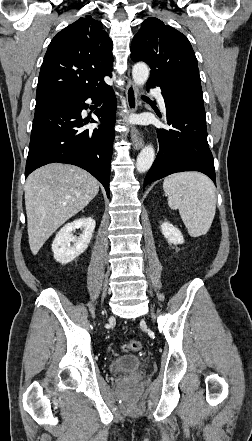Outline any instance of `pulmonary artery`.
I'll return each mask as SVG.
<instances>
[{
    "label": "pulmonary artery",
    "mask_w": 252,
    "mask_h": 441,
    "mask_svg": "<svg viewBox=\"0 0 252 441\" xmlns=\"http://www.w3.org/2000/svg\"><path fill=\"white\" fill-rule=\"evenodd\" d=\"M149 92L157 97L161 109L163 111H165L166 110L165 102H164V99H163L161 92L158 89H150Z\"/></svg>",
    "instance_id": "1"
}]
</instances>
